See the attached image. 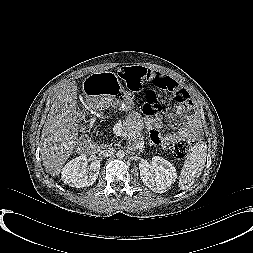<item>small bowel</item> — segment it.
Returning a JSON list of instances; mask_svg holds the SVG:
<instances>
[{
    "instance_id": "1",
    "label": "small bowel",
    "mask_w": 253,
    "mask_h": 253,
    "mask_svg": "<svg viewBox=\"0 0 253 253\" xmlns=\"http://www.w3.org/2000/svg\"><path fill=\"white\" fill-rule=\"evenodd\" d=\"M153 73L160 75L163 79L167 81V83L171 87H174L176 89L180 88L178 82L174 80L173 78L159 74L157 72H153ZM184 92L187 95H189L185 90ZM165 117L166 119L170 121H176L181 117L185 118L186 124L179 129V132H178L179 135L192 133L191 130L196 129L199 126V120H198L197 115L194 112L187 113L184 107L177 108L172 113L167 114ZM129 123L131 124L133 129L136 131L141 130L144 127H147L150 130L151 140L155 144L170 145L175 138L174 135L162 134L160 132V128L162 126L161 118L143 120L139 118L138 116H133L129 119Z\"/></svg>"
}]
</instances>
